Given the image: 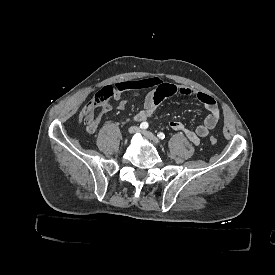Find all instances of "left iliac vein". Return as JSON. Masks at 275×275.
<instances>
[{"mask_svg":"<svg viewBox=\"0 0 275 275\" xmlns=\"http://www.w3.org/2000/svg\"><path fill=\"white\" fill-rule=\"evenodd\" d=\"M142 134L144 135V137H146L147 139L151 140L155 144H159L160 143V140L156 136H154V134H152L150 131L143 130Z\"/></svg>","mask_w":275,"mask_h":275,"instance_id":"4c4485c4","label":"left iliac vein"}]
</instances>
